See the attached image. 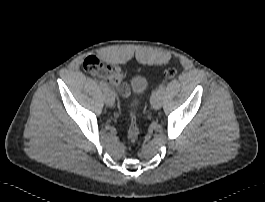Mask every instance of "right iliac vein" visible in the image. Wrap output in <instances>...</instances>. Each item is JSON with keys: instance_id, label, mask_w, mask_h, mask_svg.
Wrapping results in <instances>:
<instances>
[{"instance_id": "63e3f726", "label": "right iliac vein", "mask_w": 265, "mask_h": 202, "mask_svg": "<svg viewBox=\"0 0 265 202\" xmlns=\"http://www.w3.org/2000/svg\"><path fill=\"white\" fill-rule=\"evenodd\" d=\"M104 100L108 106H112L115 102L114 92L111 89L104 91Z\"/></svg>"}]
</instances>
